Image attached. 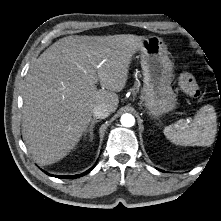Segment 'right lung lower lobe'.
<instances>
[{
  "label": "right lung lower lobe",
  "mask_w": 221,
  "mask_h": 221,
  "mask_svg": "<svg viewBox=\"0 0 221 221\" xmlns=\"http://www.w3.org/2000/svg\"><path fill=\"white\" fill-rule=\"evenodd\" d=\"M94 167L90 168L89 170H87L86 172L82 173V174H79V175H73V176H58V175H55V177L57 178H61V179H74V178H78V177H81L83 175H86L87 173H89ZM48 174V173H47ZM50 175V174H48ZM50 176H53V175H50Z\"/></svg>",
  "instance_id": "98d812e1"
}]
</instances>
